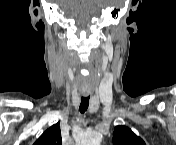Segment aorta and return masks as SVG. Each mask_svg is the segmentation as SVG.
I'll list each match as a JSON object with an SVG mask.
<instances>
[{"label":"aorta","mask_w":176,"mask_h":145,"mask_svg":"<svg viewBox=\"0 0 176 145\" xmlns=\"http://www.w3.org/2000/svg\"><path fill=\"white\" fill-rule=\"evenodd\" d=\"M102 136L96 131H87L85 132L82 143L84 145H100Z\"/></svg>","instance_id":"762f6f07"}]
</instances>
